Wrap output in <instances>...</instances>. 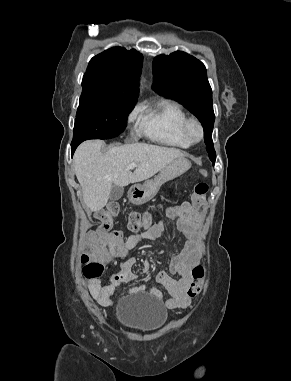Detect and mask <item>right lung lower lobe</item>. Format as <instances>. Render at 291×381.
<instances>
[{"label": "right lung lower lobe", "instance_id": "right-lung-lower-lobe-1", "mask_svg": "<svg viewBox=\"0 0 291 381\" xmlns=\"http://www.w3.org/2000/svg\"><path fill=\"white\" fill-rule=\"evenodd\" d=\"M78 145H79L78 143H71V153H72V156H73V153L76 150Z\"/></svg>", "mask_w": 291, "mask_h": 381}]
</instances>
